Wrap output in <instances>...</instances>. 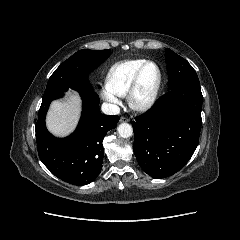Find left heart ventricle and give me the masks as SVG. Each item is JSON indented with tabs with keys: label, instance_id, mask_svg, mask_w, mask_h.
Instances as JSON below:
<instances>
[{
	"label": "left heart ventricle",
	"instance_id": "obj_1",
	"mask_svg": "<svg viewBox=\"0 0 240 240\" xmlns=\"http://www.w3.org/2000/svg\"><path fill=\"white\" fill-rule=\"evenodd\" d=\"M157 79V70L154 66L149 65L147 66L143 74L141 76L140 80V86H139V91L138 95L139 97H145L149 94L151 89L153 88L155 82Z\"/></svg>",
	"mask_w": 240,
	"mask_h": 240
}]
</instances>
